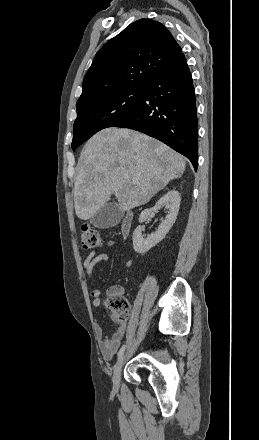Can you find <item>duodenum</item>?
<instances>
[{"label": "duodenum", "mask_w": 259, "mask_h": 440, "mask_svg": "<svg viewBox=\"0 0 259 440\" xmlns=\"http://www.w3.org/2000/svg\"><path fill=\"white\" fill-rule=\"evenodd\" d=\"M132 226H133V213L127 212L121 221V233L124 237H127L130 234L132 230Z\"/></svg>", "instance_id": "1"}]
</instances>
